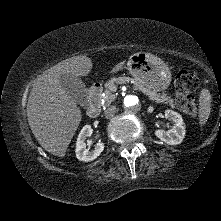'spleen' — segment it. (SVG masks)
<instances>
[{"instance_id": "spleen-1", "label": "spleen", "mask_w": 221, "mask_h": 221, "mask_svg": "<svg viewBox=\"0 0 221 221\" xmlns=\"http://www.w3.org/2000/svg\"><path fill=\"white\" fill-rule=\"evenodd\" d=\"M211 96L208 90L203 89L200 96L199 104V123L203 126L210 114Z\"/></svg>"}]
</instances>
